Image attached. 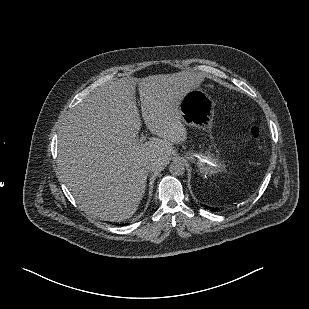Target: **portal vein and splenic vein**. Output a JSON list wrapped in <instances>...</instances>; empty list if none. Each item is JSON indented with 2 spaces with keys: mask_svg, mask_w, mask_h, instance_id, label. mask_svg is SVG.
Masks as SVG:
<instances>
[{
  "mask_svg": "<svg viewBox=\"0 0 309 309\" xmlns=\"http://www.w3.org/2000/svg\"><path fill=\"white\" fill-rule=\"evenodd\" d=\"M141 139H142V140H145V137H142Z\"/></svg>",
  "mask_w": 309,
  "mask_h": 309,
  "instance_id": "obj_1",
  "label": "portal vein and splenic vein"
}]
</instances>
